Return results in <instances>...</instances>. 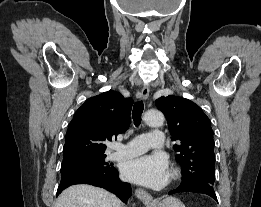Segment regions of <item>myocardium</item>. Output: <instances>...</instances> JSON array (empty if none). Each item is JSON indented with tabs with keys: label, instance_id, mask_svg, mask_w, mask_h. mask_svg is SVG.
I'll use <instances>...</instances> for the list:
<instances>
[{
	"label": "myocardium",
	"instance_id": "myocardium-1",
	"mask_svg": "<svg viewBox=\"0 0 261 207\" xmlns=\"http://www.w3.org/2000/svg\"><path fill=\"white\" fill-rule=\"evenodd\" d=\"M178 177H179V172L175 169H172L168 176V183L174 182L175 180L178 179Z\"/></svg>",
	"mask_w": 261,
	"mask_h": 207
}]
</instances>
